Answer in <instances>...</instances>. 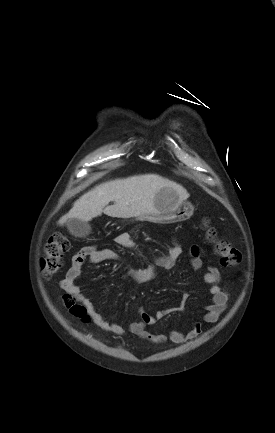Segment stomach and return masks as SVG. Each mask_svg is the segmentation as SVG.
Returning a JSON list of instances; mask_svg holds the SVG:
<instances>
[{"label": "stomach", "mask_w": 275, "mask_h": 433, "mask_svg": "<svg viewBox=\"0 0 275 433\" xmlns=\"http://www.w3.org/2000/svg\"><path fill=\"white\" fill-rule=\"evenodd\" d=\"M156 212L140 216L141 220H148L159 224H171L189 219L194 207L180 200L178 193L172 188H163L155 195Z\"/></svg>", "instance_id": "1"}]
</instances>
